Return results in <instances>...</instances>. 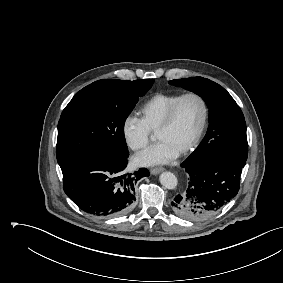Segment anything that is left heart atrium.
Listing matches in <instances>:
<instances>
[{
  "label": "left heart atrium",
  "instance_id": "obj_1",
  "mask_svg": "<svg viewBox=\"0 0 283 283\" xmlns=\"http://www.w3.org/2000/svg\"><path fill=\"white\" fill-rule=\"evenodd\" d=\"M180 152L166 141L147 148L135 157V162L141 166L166 164L179 156Z\"/></svg>",
  "mask_w": 283,
  "mask_h": 283
}]
</instances>
